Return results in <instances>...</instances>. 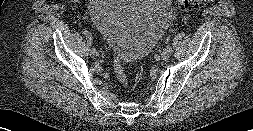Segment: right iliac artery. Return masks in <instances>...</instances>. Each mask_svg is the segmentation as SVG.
Masks as SVG:
<instances>
[{"mask_svg":"<svg viewBox=\"0 0 253 131\" xmlns=\"http://www.w3.org/2000/svg\"><path fill=\"white\" fill-rule=\"evenodd\" d=\"M90 50H91L92 52H95V51L97 50V46H96L95 43H92V44H91Z\"/></svg>","mask_w":253,"mask_h":131,"instance_id":"obj_1","label":"right iliac artery"}]
</instances>
